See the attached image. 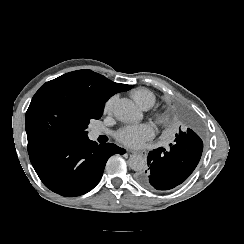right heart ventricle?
<instances>
[{
	"mask_svg": "<svg viewBox=\"0 0 244 244\" xmlns=\"http://www.w3.org/2000/svg\"><path fill=\"white\" fill-rule=\"evenodd\" d=\"M135 103L143 110H148L155 104V95L146 88H137L130 92Z\"/></svg>",
	"mask_w": 244,
	"mask_h": 244,
	"instance_id": "e07e8e85",
	"label": "right heart ventricle"
}]
</instances>
